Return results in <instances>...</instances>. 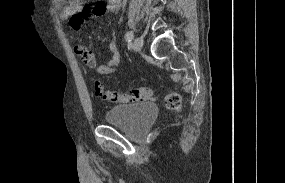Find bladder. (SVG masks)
Returning a JSON list of instances; mask_svg holds the SVG:
<instances>
[{
    "label": "bladder",
    "mask_w": 285,
    "mask_h": 183,
    "mask_svg": "<svg viewBox=\"0 0 285 183\" xmlns=\"http://www.w3.org/2000/svg\"><path fill=\"white\" fill-rule=\"evenodd\" d=\"M158 113L156 105L150 102L120 105L105 113V122L119 126L131 133L146 129Z\"/></svg>",
    "instance_id": "1"
}]
</instances>
